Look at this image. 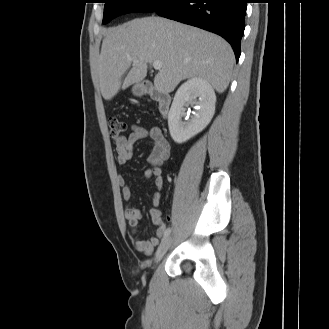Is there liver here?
<instances>
[{
    "label": "liver",
    "instance_id": "liver-1",
    "mask_svg": "<svg viewBox=\"0 0 329 329\" xmlns=\"http://www.w3.org/2000/svg\"><path fill=\"white\" fill-rule=\"evenodd\" d=\"M154 61L162 62L154 79L160 91L171 92L182 80L201 78L222 93L231 79L234 53L224 39L202 29L161 17L133 19L105 33L99 59L103 98L111 100L120 89L143 81L147 64Z\"/></svg>",
    "mask_w": 329,
    "mask_h": 329
}]
</instances>
